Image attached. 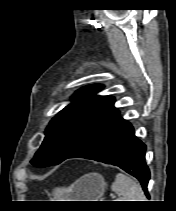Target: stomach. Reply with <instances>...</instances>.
Returning <instances> with one entry per match:
<instances>
[{
  "instance_id": "0dacf381",
  "label": "stomach",
  "mask_w": 176,
  "mask_h": 211,
  "mask_svg": "<svg viewBox=\"0 0 176 211\" xmlns=\"http://www.w3.org/2000/svg\"><path fill=\"white\" fill-rule=\"evenodd\" d=\"M106 188L104 177L98 173H89L78 179L68 190L67 196L73 201H99Z\"/></svg>"
}]
</instances>
